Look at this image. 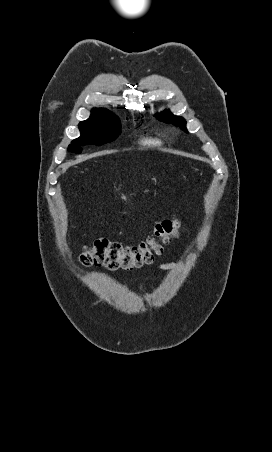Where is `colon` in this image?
I'll use <instances>...</instances> for the list:
<instances>
[{
    "label": "colon",
    "instance_id": "colon-1",
    "mask_svg": "<svg viewBox=\"0 0 272 452\" xmlns=\"http://www.w3.org/2000/svg\"><path fill=\"white\" fill-rule=\"evenodd\" d=\"M179 222L164 220L155 226L153 235L144 242L125 246L106 239H98L84 248L80 260L84 266H104L109 269H134L151 264L156 255L177 236Z\"/></svg>",
    "mask_w": 272,
    "mask_h": 452
}]
</instances>
